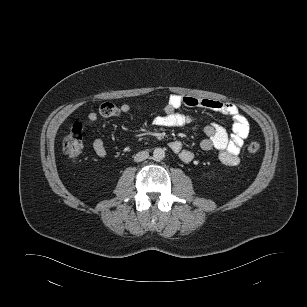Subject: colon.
Masks as SVG:
<instances>
[{"mask_svg":"<svg viewBox=\"0 0 307 307\" xmlns=\"http://www.w3.org/2000/svg\"><path fill=\"white\" fill-rule=\"evenodd\" d=\"M83 148L82 126L76 123L69 134L63 141V151L71 159H76L80 156ZM260 149V144L256 141H251L247 145L249 154H256Z\"/></svg>","mask_w":307,"mask_h":307,"instance_id":"5ec220e1","label":"colon"}]
</instances>
